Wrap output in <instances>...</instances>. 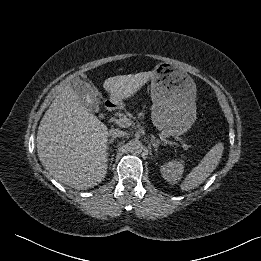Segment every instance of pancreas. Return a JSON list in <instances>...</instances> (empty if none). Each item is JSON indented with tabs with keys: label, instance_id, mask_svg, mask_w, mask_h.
<instances>
[{
	"label": "pancreas",
	"instance_id": "cf45deb5",
	"mask_svg": "<svg viewBox=\"0 0 261 261\" xmlns=\"http://www.w3.org/2000/svg\"><path fill=\"white\" fill-rule=\"evenodd\" d=\"M127 115H129V114H127ZM130 120V119H129ZM180 141H182V139L181 138H178Z\"/></svg>",
	"mask_w": 261,
	"mask_h": 261
}]
</instances>
